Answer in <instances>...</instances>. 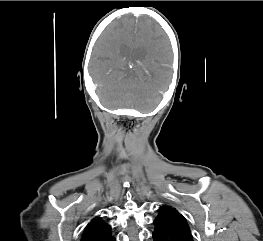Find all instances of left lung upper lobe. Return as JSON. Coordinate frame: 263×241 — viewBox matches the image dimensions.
Wrapping results in <instances>:
<instances>
[{"instance_id": "5c2ea615", "label": "left lung upper lobe", "mask_w": 263, "mask_h": 241, "mask_svg": "<svg viewBox=\"0 0 263 241\" xmlns=\"http://www.w3.org/2000/svg\"><path fill=\"white\" fill-rule=\"evenodd\" d=\"M156 220L169 225L182 234L192 237L186 219L174 208L162 206L159 209Z\"/></svg>"}]
</instances>
